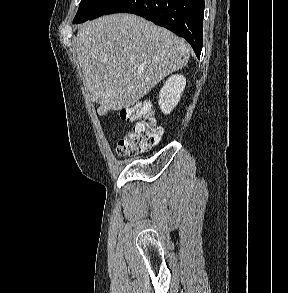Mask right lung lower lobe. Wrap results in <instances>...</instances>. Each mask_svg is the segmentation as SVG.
I'll return each mask as SVG.
<instances>
[{
    "label": "right lung lower lobe",
    "mask_w": 288,
    "mask_h": 293,
    "mask_svg": "<svg viewBox=\"0 0 288 293\" xmlns=\"http://www.w3.org/2000/svg\"><path fill=\"white\" fill-rule=\"evenodd\" d=\"M204 0H121L106 14L133 13L186 39L200 58Z\"/></svg>",
    "instance_id": "1"
}]
</instances>
